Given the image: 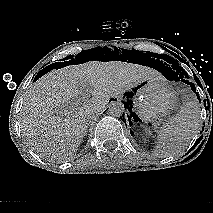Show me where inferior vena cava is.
<instances>
[{
  "mask_svg": "<svg viewBox=\"0 0 213 213\" xmlns=\"http://www.w3.org/2000/svg\"><path fill=\"white\" fill-rule=\"evenodd\" d=\"M95 113H97V112L88 113V114L86 115V118H87L88 120H91V119L93 118V115H94Z\"/></svg>",
  "mask_w": 213,
  "mask_h": 213,
  "instance_id": "1",
  "label": "inferior vena cava"
}]
</instances>
